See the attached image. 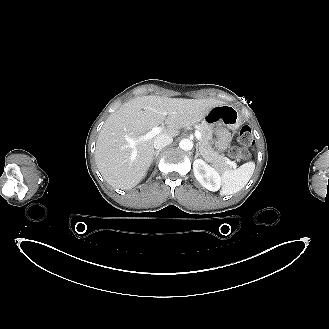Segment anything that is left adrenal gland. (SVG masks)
I'll return each instance as SVG.
<instances>
[{"label":"left adrenal gland","mask_w":329,"mask_h":329,"mask_svg":"<svg viewBox=\"0 0 329 329\" xmlns=\"http://www.w3.org/2000/svg\"><path fill=\"white\" fill-rule=\"evenodd\" d=\"M198 156H201V153L198 150V144H197L195 158H197Z\"/></svg>","instance_id":"1"}]
</instances>
